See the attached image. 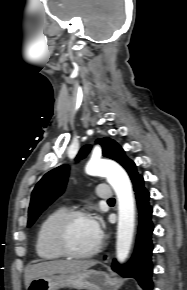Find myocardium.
<instances>
[{"mask_svg":"<svg viewBox=\"0 0 187 290\" xmlns=\"http://www.w3.org/2000/svg\"><path fill=\"white\" fill-rule=\"evenodd\" d=\"M82 217H90V214L82 209L68 210L54 223L51 238L54 247L62 256L76 259L90 258L101 249L103 242L102 236H100L97 244L88 251H76L70 246L68 241V228L73 220Z\"/></svg>","mask_w":187,"mask_h":290,"instance_id":"1","label":"myocardium"}]
</instances>
